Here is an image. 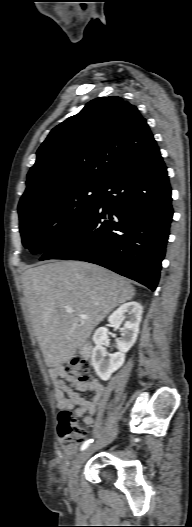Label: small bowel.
Segmentation results:
<instances>
[{"mask_svg": "<svg viewBox=\"0 0 192 527\" xmlns=\"http://www.w3.org/2000/svg\"><path fill=\"white\" fill-rule=\"evenodd\" d=\"M51 377L59 390L58 406L73 410L75 416L81 417L86 425L92 426L96 408L105 393L104 386L95 379L80 382L61 367L52 369ZM80 392H91L93 396L87 400Z\"/></svg>", "mask_w": 192, "mask_h": 527, "instance_id": "small-bowel-1", "label": "small bowel"}]
</instances>
